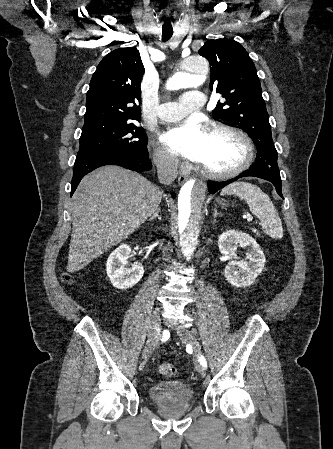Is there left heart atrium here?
Returning a JSON list of instances; mask_svg holds the SVG:
<instances>
[{
	"label": "left heart atrium",
	"mask_w": 333,
	"mask_h": 449,
	"mask_svg": "<svg viewBox=\"0 0 333 449\" xmlns=\"http://www.w3.org/2000/svg\"><path fill=\"white\" fill-rule=\"evenodd\" d=\"M206 135L207 132L196 120H189L168 129L161 139L172 153L198 161L204 148Z\"/></svg>",
	"instance_id": "39dd6f15"
}]
</instances>
